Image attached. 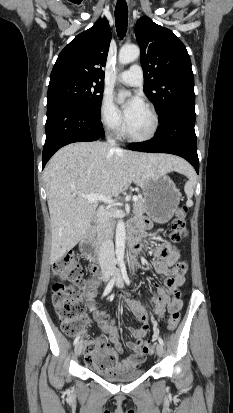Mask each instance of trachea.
<instances>
[{"mask_svg": "<svg viewBox=\"0 0 233 413\" xmlns=\"http://www.w3.org/2000/svg\"><path fill=\"white\" fill-rule=\"evenodd\" d=\"M115 23L117 34L123 38L128 26V7L125 0H118L115 7Z\"/></svg>", "mask_w": 233, "mask_h": 413, "instance_id": "3493384b", "label": "trachea"}]
</instances>
